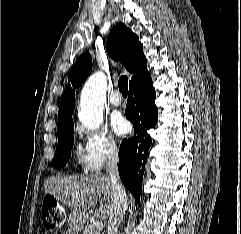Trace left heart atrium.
Masks as SVG:
<instances>
[{"label": "left heart atrium", "mask_w": 241, "mask_h": 234, "mask_svg": "<svg viewBox=\"0 0 241 234\" xmlns=\"http://www.w3.org/2000/svg\"><path fill=\"white\" fill-rule=\"evenodd\" d=\"M111 127L117 135H124L129 131L128 121L120 114H115L111 118Z\"/></svg>", "instance_id": "1"}]
</instances>
